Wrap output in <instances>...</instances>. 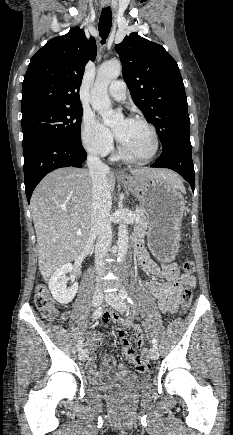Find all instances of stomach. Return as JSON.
<instances>
[{"label": "stomach", "mask_w": 233, "mask_h": 435, "mask_svg": "<svg viewBox=\"0 0 233 435\" xmlns=\"http://www.w3.org/2000/svg\"><path fill=\"white\" fill-rule=\"evenodd\" d=\"M122 181L140 201L152 252L162 261L173 260L179 248L180 223L185 210L182 194L160 178L126 176Z\"/></svg>", "instance_id": "1"}]
</instances>
